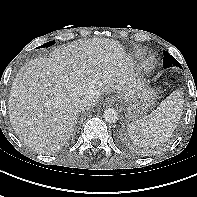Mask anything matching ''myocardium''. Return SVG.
Segmentation results:
<instances>
[{
  "instance_id": "1",
  "label": "myocardium",
  "mask_w": 197,
  "mask_h": 197,
  "mask_svg": "<svg viewBox=\"0 0 197 197\" xmlns=\"http://www.w3.org/2000/svg\"><path fill=\"white\" fill-rule=\"evenodd\" d=\"M155 65V59L153 57H149L144 61V68L146 70H150L154 67Z\"/></svg>"
}]
</instances>
